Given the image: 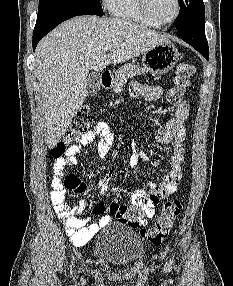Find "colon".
Listing matches in <instances>:
<instances>
[{"instance_id": "5ec220e1", "label": "colon", "mask_w": 233, "mask_h": 286, "mask_svg": "<svg viewBox=\"0 0 233 286\" xmlns=\"http://www.w3.org/2000/svg\"><path fill=\"white\" fill-rule=\"evenodd\" d=\"M195 73V67L186 62H180L176 66L175 87L168 92V100L174 104L183 102V97L191 85V78ZM94 116L88 108H81L71 125L66 131L61 141L51 149L50 157L56 163L69 152L74 140H77L83 132L92 127ZM54 163V164H55ZM65 189L72 190L76 193L84 192L86 186L75 175H68L62 182ZM182 210V204L179 200L174 199L165 202L162 205L161 212L153 224L149 228H142L140 233L152 244H160L164 241L173 226L175 219L179 216ZM128 220L131 225L139 227L142 222V211L138 206H132L128 212Z\"/></svg>"}]
</instances>
